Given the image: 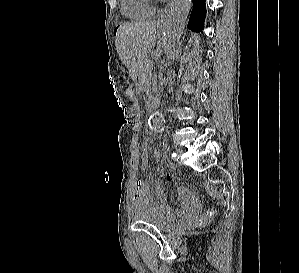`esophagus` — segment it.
I'll return each mask as SVG.
<instances>
[{
	"mask_svg": "<svg viewBox=\"0 0 299 273\" xmlns=\"http://www.w3.org/2000/svg\"><path fill=\"white\" fill-rule=\"evenodd\" d=\"M167 15H168V9H166L165 12L163 14H161V16L158 19V23L159 24L165 23L167 20Z\"/></svg>",
	"mask_w": 299,
	"mask_h": 273,
	"instance_id": "esophagus-1",
	"label": "esophagus"
}]
</instances>
